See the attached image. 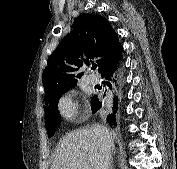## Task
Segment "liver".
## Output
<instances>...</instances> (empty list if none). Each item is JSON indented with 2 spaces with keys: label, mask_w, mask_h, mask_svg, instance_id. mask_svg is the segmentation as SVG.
Returning a JSON list of instances; mask_svg holds the SVG:
<instances>
[{
  "label": "liver",
  "mask_w": 177,
  "mask_h": 169,
  "mask_svg": "<svg viewBox=\"0 0 177 169\" xmlns=\"http://www.w3.org/2000/svg\"><path fill=\"white\" fill-rule=\"evenodd\" d=\"M100 143L93 128L66 134L58 145L50 169H101Z\"/></svg>",
  "instance_id": "liver-1"
}]
</instances>
